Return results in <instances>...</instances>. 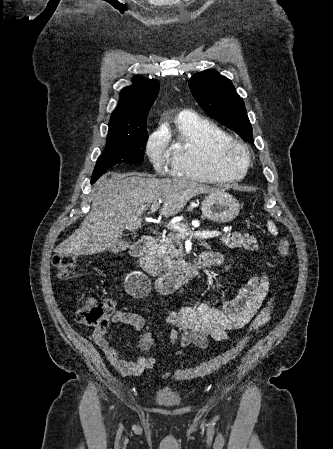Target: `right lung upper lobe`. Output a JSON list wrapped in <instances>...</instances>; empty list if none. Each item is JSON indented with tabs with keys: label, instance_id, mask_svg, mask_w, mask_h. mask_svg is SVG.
<instances>
[{
	"label": "right lung upper lobe",
	"instance_id": "1",
	"mask_svg": "<svg viewBox=\"0 0 333 449\" xmlns=\"http://www.w3.org/2000/svg\"><path fill=\"white\" fill-rule=\"evenodd\" d=\"M133 85L120 93L118 106L113 111L108 136H136L146 125V119L159 91V82L136 76Z\"/></svg>",
	"mask_w": 333,
	"mask_h": 449
}]
</instances>
